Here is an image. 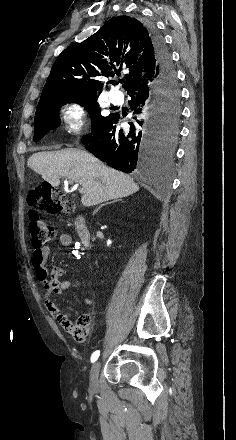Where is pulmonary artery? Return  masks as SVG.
<instances>
[{"label": "pulmonary artery", "instance_id": "e3ab8cb5", "mask_svg": "<svg viewBox=\"0 0 236 440\" xmlns=\"http://www.w3.org/2000/svg\"><path fill=\"white\" fill-rule=\"evenodd\" d=\"M109 98L113 104H120L123 100L122 93L117 90H111Z\"/></svg>", "mask_w": 236, "mask_h": 440}]
</instances>
